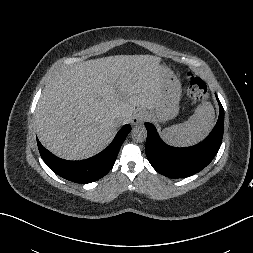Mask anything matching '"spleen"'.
<instances>
[{
  "instance_id": "obj_1",
  "label": "spleen",
  "mask_w": 253,
  "mask_h": 253,
  "mask_svg": "<svg viewBox=\"0 0 253 253\" xmlns=\"http://www.w3.org/2000/svg\"><path fill=\"white\" fill-rule=\"evenodd\" d=\"M215 123V111L210 102L198 105L194 114L180 124L162 131V138L172 146L188 147L199 143L211 131Z\"/></svg>"
}]
</instances>
